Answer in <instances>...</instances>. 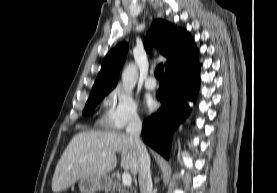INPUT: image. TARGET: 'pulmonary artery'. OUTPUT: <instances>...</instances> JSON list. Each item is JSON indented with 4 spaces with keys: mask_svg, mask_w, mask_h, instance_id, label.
Returning <instances> with one entry per match:
<instances>
[{
    "mask_svg": "<svg viewBox=\"0 0 277 193\" xmlns=\"http://www.w3.org/2000/svg\"><path fill=\"white\" fill-rule=\"evenodd\" d=\"M145 88L148 90H153L156 88V80L153 75H150L145 80Z\"/></svg>",
    "mask_w": 277,
    "mask_h": 193,
    "instance_id": "pulmonary-artery-1",
    "label": "pulmonary artery"
}]
</instances>
